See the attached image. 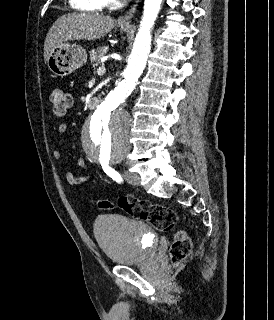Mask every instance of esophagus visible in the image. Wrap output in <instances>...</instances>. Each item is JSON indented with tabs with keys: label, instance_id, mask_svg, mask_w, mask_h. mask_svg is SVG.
<instances>
[{
	"label": "esophagus",
	"instance_id": "1",
	"mask_svg": "<svg viewBox=\"0 0 274 320\" xmlns=\"http://www.w3.org/2000/svg\"><path fill=\"white\" fill-rule=\"evenodd\" d=\"M140 0H135L134 5H132V7L130 8V10L123 16L120 17L118 19V24L120 26H127L130 24L132 17L134 16L136 9H137V5L139 3Z\"/></svg>",
	"mask_w": 274,
	"mask_h": 320
}]
</instances>
